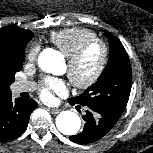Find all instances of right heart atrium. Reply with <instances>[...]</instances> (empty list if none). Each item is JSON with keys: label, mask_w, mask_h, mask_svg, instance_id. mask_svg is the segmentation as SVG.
<instances>
[{"label": "right heart atrium", "mask_w": 153, "mask_h": 153, "mask_svg": "<svg viewBox=\"0 0 153 153\" xmlns=\"http://www.w3.org/2000/svg\"><path fill=\"white\" fill-rule=\"evenodd\" d=\"M39 53V46L37 44H32L28 51H27V55L26 58L29 62H34L37 59Z\"/></svg>", "instance_id": "right-heart-atrium-1"}]
</instances>
